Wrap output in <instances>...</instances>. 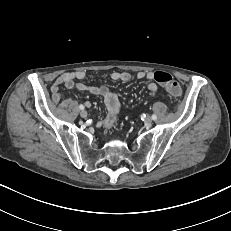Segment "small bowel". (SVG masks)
<instances>
[{
  "mask_svg": "<svg viewBox=\"0 0 231 231\" xmlns=\"http://www.w3.org/2000/svg\"><path fill=\"white\" fill-rule=\"evenodd\" d=\"M153 72H143L140 71L137 73L136 77L140 80H147L146 88L147 90L155 94L157 92V85L153 81ZM87 73L85 71H74L66 72L61 74L52 84V99L54 102H59L62 99V95L59 91L60 86H64L67 89H76L78 91H86L93 95H97L103 98L107 114L104 119L98 122V126H104L105 128H110L114 121L116 120L120 112V102L118 96L113 93L107 86H89L83 84L79 81L85 80ZM111 79L114 81L128 82L131 80V74L125 71H114L110 75ZM71 99H64L62 101L63 106H67L70 103ZM87 106H90L89 102H86Z\"/></svg>",
  "mask_w": 231,
  "mask_h": 231,
  "instance_id": "1",
  "label": "small bowel"
}]
</instances>
